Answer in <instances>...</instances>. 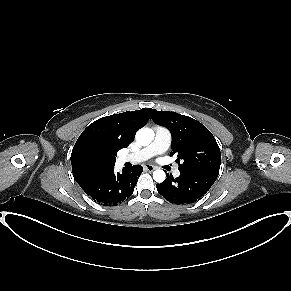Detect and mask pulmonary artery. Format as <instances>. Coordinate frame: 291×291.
<instances>
[{"label":"pulmonary artery","mask_w":291,"mask_h":291,"mask_svg":"<svg viewBox=\"0 0 291 291\" xmlns=\"http://www.w3.org/2000/svg\"><path fill=\"white\" fill-rule=\"evenodd\" d=\"M154 133V139L148 146L142 148L137 152L121 156L120 161L122 163H139L146 161L155 155L163 154L164 152H166L171 143V134L169 130L164 127L158 126L154 129ZM173 175L175 177H178L180 175V170L178 168H175L173 171Z\"/></svg>","instance_id":"e3ab8cb5"}]
</instances>
